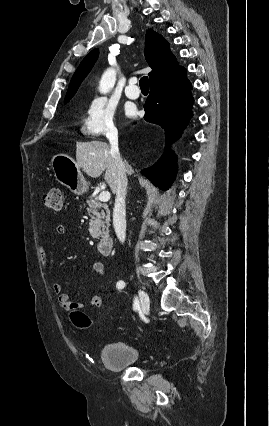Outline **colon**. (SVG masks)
Masks as SVG:
<instances>
[{"label": "colon", "instance_id": "obj_1", "mask_svg": "<svg viewBox=\"0 0 269 426\" xmlns=\"http://www.w3.org/2000/svg\"><path fill=\"white\" fill-rule=\"evenodd\" d=\"M46 207L54 210L61 208V189L58 187L51 188L44 196ZM72 323L81 330L88 329L91 326L89 316L79 309H73L71 314Z\"/></svg>", "mask_w": 269, "mask_h": 426}]
</instances>
